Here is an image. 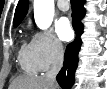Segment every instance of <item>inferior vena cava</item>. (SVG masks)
Instances as JSON below:
<instances>
[{
    "label": "inferior vena cava",
    "mask_w": 107,
    "mask_h": 89,
    "mask_svg": "<svg viewBox=\"0 0 107 89\" xmlns=\"http://www.w3.org/2000/svg\"><path fill=\"white\" fill-rule=\"evenodd\" d=\"M63 58H64V50L61 44L55 45L54 57L53 62L51 65L50 70L46 73V79L52 84H56V75L60 71L63 65Z\"/></svg>",
    "instance_id": "obj_1"
}]
</instances>
